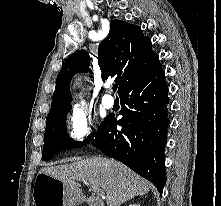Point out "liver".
Instances as JSON below:
<instances>
[{"instance_id":"1","label":"liver","mask_w":221,"mask_h":206,"mask_svg":"<svg viewBox=\"0 0 221 206\" xmlns=\"http://www.w3.org/2000/svg\"><path fill=\"white\" fill-rule=\"evenodd\" d=\"M39 173L77 188L76 181L100 188L106 193L108 206H120L135 196L145 195L151 187L148 181L124 164L101 156L82 159L71 164L44 167Z\"/></svg>"}]
</instances>
